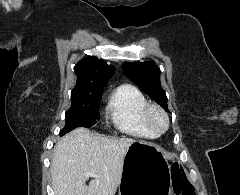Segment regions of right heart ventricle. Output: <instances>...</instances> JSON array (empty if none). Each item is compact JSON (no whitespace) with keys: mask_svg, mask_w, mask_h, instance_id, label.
Masks as SVG:
<instances>
[{"mask_svg":"<svg viewBox=\"0 0 240 195\" xmlns=\"http://www.w3.org/2000/svg\"><path fill=\"white\" fill-rule=\"evenodd\" d=\"M148 102L134 86L123 85L111 95L106 107L108 125L118 132L136 138L153 139L157 133L149 128L143 118Z\"/></svg>","mask_w":240,"mask_h":195,"instance_id":"right-heart-ventricle-1","label":"right heart ventricle"}]
</instances>
